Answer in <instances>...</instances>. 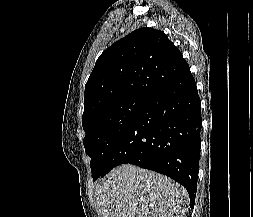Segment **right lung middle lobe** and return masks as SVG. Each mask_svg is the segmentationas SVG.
<instances>
[{"label": "right lung middle lobe", "mask_w": 253, "mask_h": 217, "mask_svg": "<svg viewBox=\"0 0 253 217\" xmlns=\"http://www.w3.org/2000/svg\"><path fill=\"white\" fill-rule=\"evenodd\" d=\"M147 101L145 97H129L100 109L83 122V144L91 157L93 180L104 173L113 148Z\"/></svg>", "instance_id": "1"}]
</instances>
